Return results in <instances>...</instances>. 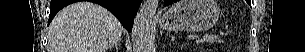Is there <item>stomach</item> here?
Returning a JSON list of instances; mask_svg holds the SVG:
<instances>
[{"mask_svg": "<svg viewBox=\"0 0 305 52\" xmlns=\"http://www.w3.org/2000/svg\"><path fill=\"white\" fill-rule=\"evenodd\" d=\"M219 16L215 0H180L161 17L159 26L170 32L204 31L212 28Z\"/></svg>", "mask_w": 305, "mask_h": 52, "instance_id": "obj_1", "label": "stomach"}]
</instances>
